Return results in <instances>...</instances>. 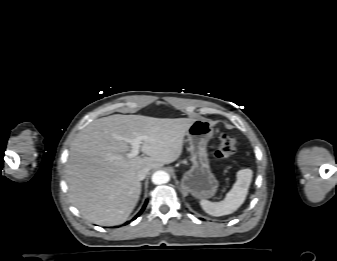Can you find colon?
I'll use <instances>...</instances> for the list:
<instances>
[{
    "mask_svg": "<svg viewBox=\"0 0 337 261\" xmlns=\"http://www.w3.org/2000/svg\"><path fill=\"white\" fill-rule=\"evenodd\" d=\"M236 151L235 139L227 133H221L220 143L215 152V156L220 160L230 159Z\"/></svg>",
    "mask_w": 337,
    "mask_h": 261,
    "instance_id": "colon-1",
    "label": "colon"
}]
</instances>
